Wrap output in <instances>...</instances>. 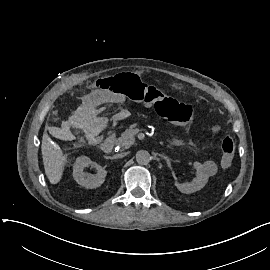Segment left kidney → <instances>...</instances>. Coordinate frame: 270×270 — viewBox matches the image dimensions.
I'll list each match as a JSON object with an SVG mask.
<instances>
[{
	"label": "left kidney",
	"instance_id": "5707ae66",
	"mask_svg": "<svg viewBox=\"0 0 270 270\" xmlns=\"http://www.w3.org/2000/svg\"><path fill=\"white\" fill-rule=\"evenodd\" d=\"M194 168L197 170V175L191 183H175V186L180 192L186 194L194 193L202 189L208 182L209 175L204 170L203 165L199 162H194Z\"/></svg>",
	"mask_w": 270,
	"mask_h": 270
}]
</instances>
